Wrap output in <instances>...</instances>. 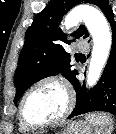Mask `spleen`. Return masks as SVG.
Instances as JSON below:
<instances>
[{
	"mask_svg": "<svg viewBox=\"0 0 116 134\" xmlns=\"http://www.w3.org/2000/svg\"><path fill=\"white\" fill-rule=\"evenodd\" d=\"M86 119L94 126L95 134H112L114 121L110 115L97 112L87 114Z\"/></svg>",
	"mask_w": 116,
	"mask_h": 134,
	"instance_id": "obj_1",
	"label": "spleen"
}]
</instances>
